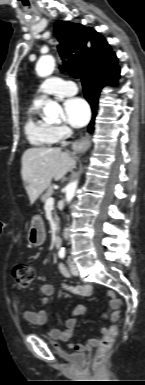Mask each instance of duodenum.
I'll return each instance as SVG.
<instances>
[{
    "instance_id": "obj_1",
    "label": "duodenum",
    "mask_w": 145,
    "mask_h": 385,
    "mask_svg": "<svg viewBox=\"0 0 145 385\" xmlns=\"http://www.w3.org/2000/svg\"><path fill=\"white\" fill-rule=\"evenodd\" d=\"M54 243H55V247H56L57 249H59V248L61 247L62 240H61L60 235H56V236H55Z\"/></svg>"
}]
</instances>
